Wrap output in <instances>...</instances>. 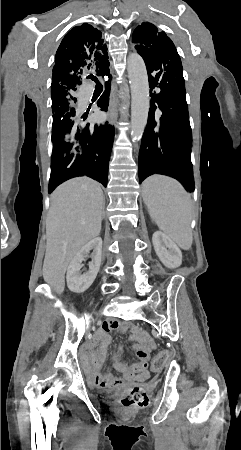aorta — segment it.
<instances>
[{
  "label": "aorta",
  "mask_w": 241,
  "mask_h": 450,
  "mask_svg": "<svg viewBox=\"0 0 241 450\" xmlns=\"http://www.w3.org/2000/svg\"><path fill=\"white\" fill-rule=\"evenodd\" d=\"M128 76L131 87V137L139 141L145 131L149 113V83L145 63L137 53L127 60Z\"/></svg>",
  "instance_id": "aorta-1"
}]
</instances>
